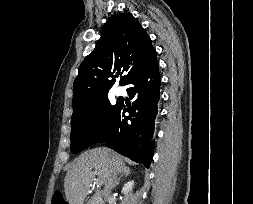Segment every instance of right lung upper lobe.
<instances>
[{
	"instance_id": "right-lung-upper-lobe-1",
	"label": "right lung upper lobe",
	"mask_w": 253,
	"mask_h": 204,
	"mask_svg": "<svg viewBox=\"0 0 253 204\" xmlns=\"http://www.w3.org/2000/svg\"><path fill=\"white\" fill-rule=\"evenodd\" d=\"M154 50L145 29L129 13L112 15L95 49L81 63L73 85V109L108 94L120 73L124 85Z\"/></svg>"
}]
</instances>
